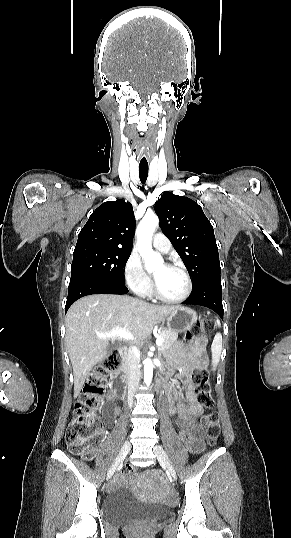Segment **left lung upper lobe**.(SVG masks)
Returning a JSON list of instances; mask_svg holds the SVG:
<instances>
[{
  "mask_svg": "<svg viewBox=\"0 0 291 538\" xmlns=\"http://www.w3.org/2000/svg\"><path fill=\"white\" fill-rule=\"evenodd\" d=\"M162 232L171 241L193 279V288L220 275L213 227L195 201L164 192L155 205Z\"/></svg>",
  "mask_w": 291,
  "mask_h": 538,
  "instance_id": "obj_1",
  "label": "left lung upper lobe"
}]
</instances>
